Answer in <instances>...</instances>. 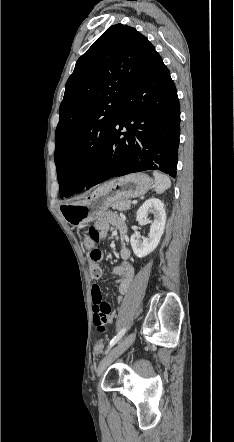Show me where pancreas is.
Wrapping results in <instances>:
<instances>
[{
	"label": "pancreas",
	"instance_id": "cf45deb5",
	"mask_svg": "<svg viewBox=\"0 0 234 442\" xmlns=\"http://www.w3.org/2000/svg\"><path fill=\"white\" fill-rule=\"evenodd\" d=\"M131 206V200H123L119 202H115L112 204V209L119 210V211H125L128 210Z\"/></svg>",
	"mask_w": 234,
	"mask_h": 442
}]
</instances>
